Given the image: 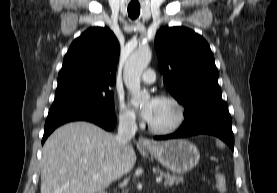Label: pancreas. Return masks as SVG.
<instances>
[{"label": "pancreas", "mask_w": 277, "mask_h": 193, "mask_svg": "<svg viewBox=\"0 0 277 193\" xmlns=\"http://www.w3.org/2000/svg\"><path fill=\"white\" fill-rule=\"evenodd\" d=\"M160 176L164 178V185L165 186H172L173 184H178L180 182H183L182 176L172 175L169 172H160Z\"/></svg>", "instance_id": "cf45deb5"}]
</instances>
